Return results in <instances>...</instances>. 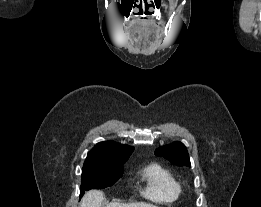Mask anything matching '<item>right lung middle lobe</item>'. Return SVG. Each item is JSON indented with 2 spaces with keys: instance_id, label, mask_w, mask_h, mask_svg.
I'll return each instance as SVG.
<instances>
[{
  "instance_id": "dd1d6c3e",
  "label": "right lung middle lobe",
  "mask_w": 261,
  "mask_h": 207,
  "mask_svg": "<svg viewBox=\"0 0 261 207\" xmlns=\"http://www.w3.org/2000/svg\"><path fill=\"white\" fill-rule=\"evenodd\" d=\"M128 158H122L106 165L83 166L80 197L90 189L107 188L116 183L123 175V164Z\"/></svg>"
}]
</instances>
